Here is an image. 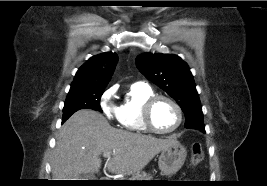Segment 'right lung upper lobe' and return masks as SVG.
I'll use <instances>...</instances> for the list:
<instances>
[{
	"label": "right lung upper lobe",
	"mask_w": 267,
	"mask_h": 186,
	"mask_svg": "<svg viewBox=\"0 0 267 186\" xmlns=\"http://www.w3.org/2000/svg\"><path fill=\"white\" fill-rule=\"evenodd\" d=\"M118 61L116 53L106 52L91 57L77 71L70 91L104 89Z\"/></svg>",
	"instance_id": "right-lung-upper-lobe-1"
}]
</instances>
